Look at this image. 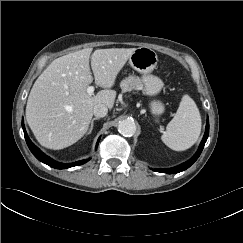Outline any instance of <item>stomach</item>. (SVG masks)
I'll return each instance as SVG.
<instances>
[{
    "label": "stomach",
    "instance_id": "1",
    "mask_svg": "<svg viewBox=\"0 0 243 243\" xmlns=\"http://www.w3.org/2000/svg\"><path fill=\"white\" fill-rule=\"evenodd\" d=\"M130 66L142 74V82L144 84V92L146 95H157L162 87V80L152 75V71L158 64V56L156 52L147 47L137 48L129 58ZM150 111L153 115L159 116L164 111V106L160 101L152 100L149 103Z\"/></svg>",
    "mask_w": 243,
    "mask_h": 243
}]
</instances>
